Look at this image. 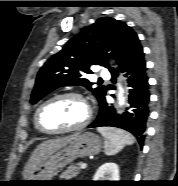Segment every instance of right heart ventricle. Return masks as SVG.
<instances>
[{
	"label": "right heart ventricle",
	"mask_w": 178,
	"mask_h": 186,
	"mask_svg": "<svg viewBox=\"0 0 178 186\" xmlns=\"http://www.w3.org/2000/svg\"><path fill=\"white\" fill-rule=\"evenodd\" d=\"M37 109H38V108H37ZM37 109L35 110L34 115H33V123H34V126H35L36 128H37V126H36V122H35V117H36Z\"/></svg>",
	"instance_id": "e07e8e85"
}]
</instances>
